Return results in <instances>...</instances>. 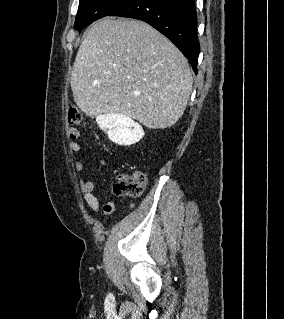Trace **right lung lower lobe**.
Segmentation results:
<instances>
[{
    "mask_svg": "<svg viewBox=\"0 0 284 319\" xmlns=\"http://www.w3.org/2000/svg\"><path fill=\"white\" fill-rule=\"evenodd\" d=\"M108 16L147 22L178 47L197 73L200 45L195 0H130Z\"/></svg>",
    "mask_w": 284,
    "mask_h": 319,
    "instance_id": "right-lung-lower-lobe-1",
    "label": "right lung lower lobe"
}]
</instances>
